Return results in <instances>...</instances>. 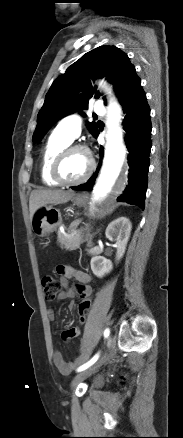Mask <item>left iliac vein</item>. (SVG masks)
<instances>
[{"label":"left iliac vein","instance_id":"left-iliac-vein-1","mask_svg":"<svg viewBox=\"0 0 183 438\" xmlns=\"http://www.w3.org/2000/svg\"><path fill=\"white\" fill-rule=\"evenodd\" d=\"M114 345H115V340H111V342L109 344V349L100 357V359L95 364H93L91 367L78 373L74 377V379L72 381V387H75L80 381H82L86 377H88L91 374H93L94 372H96L103 364H105L110 358L111 348H113Z\"/></svg>","mask_w":183,"mask_h":438}]
</instances>
